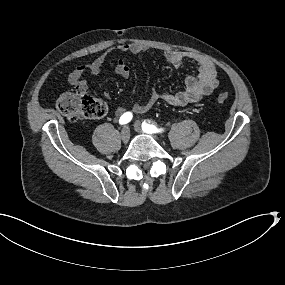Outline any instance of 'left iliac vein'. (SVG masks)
<instances>
[{
    "label": "left iliac vein",
    "instance_id": "left-iliac-vein-1",
    "mask_svg": "<svg viewBox=\"0 0 285 285\" xmlns=\"http://www.w3.org/2000/svg\"><path fill=\"white\" fill-rule=\"evenodd\" d=\"M134 127H135V130L140 133V134H144L145 132H143L142 128H141V124L139 121H135L134 123ZM156 140H158L157 137H155Z\"/></svg>",
    "mask_w": 285,
    "mask_h": 285
}]
</instances>
